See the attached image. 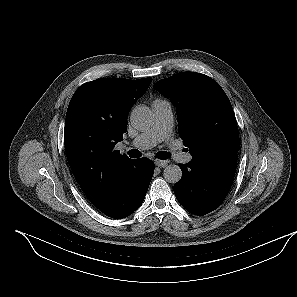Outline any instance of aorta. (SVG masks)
Returning a JSON list of instances; mask_svg holds the SVG:
<instances>
[{
	"mask_svg": "<svg viewBox=\"0 0 297 297\" xmlns=\"http://www.w3.org/2000/svg\"><path fill=\"white\" fill-rule=\"evenodd\" d=\"M130 121L134 128L145 130L149 128L154 121L152 111L146 106H139L132 110ZM164 179L169 183H177L182 178V170L178 165L169 164L163 172Z\"/></svg>",
	"mask_w": 297,
	"mask_h": 297,
	"instance_id": "obj_1",
	"label": "aorta"
}]
</instances>
